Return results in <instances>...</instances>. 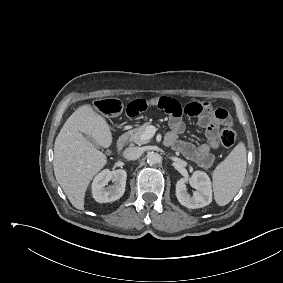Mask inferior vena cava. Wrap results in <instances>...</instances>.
<instances>
[{
  "label": "inferior vena cava",
  "mask_w": 283,
  "mask_h": 283,
  "mask_svg": "<svg viewBox=\"0 0 283 283\" xmlns=\"http://www.w3.org/2000/svg\"><path fill=\"white\" fill-rule=\"evenodd\" d=\"M142 155V150L139 147H128L123 152V157L127 160H136Z\"/></svg>",
  "instance_id": "obj_1"
}]
</instances>
